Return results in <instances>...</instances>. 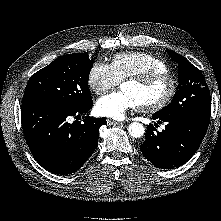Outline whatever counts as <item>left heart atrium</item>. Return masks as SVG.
<instances>
[{
	"instance_id": "obj_1",
	"label": "left heart atrium",
	"mask_w": 221,
	"mask_h": 221,
	"mask_svg": "<svg viewBox=\"0 0 221 221\" xmlns=\"http://www.w3.org/2000/svg\"><path fill=\"white\" fill-rule=\"evenodd\" d=\"M138 107L136 100L124 91L113 92L101 97L95 106L100 116L122 120L130 110Z\"/></svg>"
}]
</instances>
